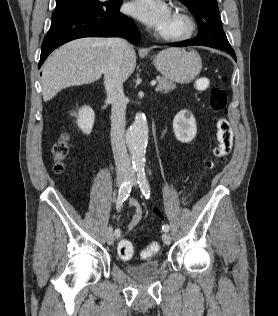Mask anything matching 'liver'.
Listing matches in <instances>:
<instances>
[{
	"label": "liver",
	"mask_w": 278,
	"mask_h": 316,
	"mask_svg": "<svg viewBox=\"0 0 278 316\" xmlns=\"http://www.w3.org/2000/svg\"><path fill=\"white\" fill-rule=\"evenodd\" d=\"M111 56L109 38L85 37L66 43L45 62L42 71V93L45 101L71 86L99 80ZM136 67V53L129 45L121 66L122 81H126Z\"/></svg>",
	"instance_id": "6515ba94"
}]
</instances>
